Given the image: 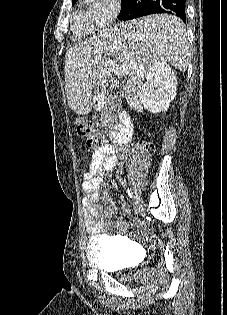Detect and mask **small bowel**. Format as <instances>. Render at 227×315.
I'll return each mask as SVG.
<instances>
[{
    "instance_id": "c3829d8e",
    "label": "small bowel",
    "mask_w": 227,
    "mask_h": 315,
    "mask_svg": "<svg viewBox=\"0 0 227 315\" xmlns=\"http://www.w3.org/2000/svg\"><path fill=\"white\" fill-rule=\"evenodd\" d=\"M127 156L126 150H117L111 145H102L91 152L85 162L82 189L85 197L82 201L83 216L86 231L89 234H99L104 225L105 218H112L116 214L114 201L106 194L100 193L99 188L104 173L112 170ZM100 203L105 205L103 211ZM122 209L127 217L131 216V210L123 203ZM135 224L140 221L135 218Z\"/></svg>"
}]
</instances>
